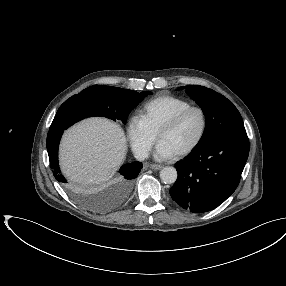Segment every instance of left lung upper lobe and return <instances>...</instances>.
<instances>
[{
  "mask_svg": "<svg viewBox=\"0 0 286 286\" xmlns=\"http://www.w3.org/2000/svg\"><path fill=\"white\" fill-rule=\"evenodd\" d=\"M183 88L180 87L179 89ZM186 93L200 106L206 117L204 134L196 146L220 137L247 138L239 111L226 97L198 85L187 86Z\"/></svg>",
  "mask_w": 286,
  "mask_h": 286,
  "instance_id": "left-lung-upper-lobe-1",
  "label": "left lung upper lobe"
}]
</instances>
